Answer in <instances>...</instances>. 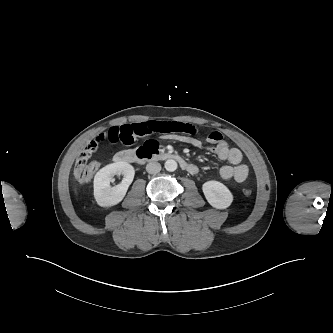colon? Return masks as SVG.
Here are the masks:
<instances>
[{
    "instance_id": "1",
    "label": "colon",
    "mask_w": 333,
    "mask_h": 333,
    "mask_svg": "<svg viewBox=\"0 0 333 333\" xmlns=\"http://www.w3.org/2000/svg\"><path fill=\"white\" fill-rule=\"evenodd\" d=\"M98 148L97 142H91L78 156L74 165V178L80 184H86L90 182L97 171L100 168V164L97 161H90L91 156L96 152ZM243 193L246 196H250L252 191L250 189H243Z\"/></svg>"
}]
</instances>
